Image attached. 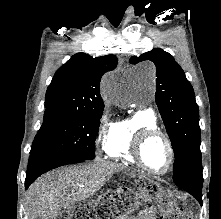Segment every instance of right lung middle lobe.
<instances>
[{
    "label": "right lung middle lobe",
    "mask_w": 221,
    "mask_h": 219,
    "mask_svg": "<svg viewBox=\"0 0 221 219\" xmlns=\"http://www.w3.org/2000/svg\"><path fill=\"white\" fill-rule=\"evenodd\" d=\"M103 108L76 109L46 106L43 124L31 148L47 149L82 160L95 158V139Z\"/></svg>",
    "instance_id": "obj_1"
}]
</instances>
